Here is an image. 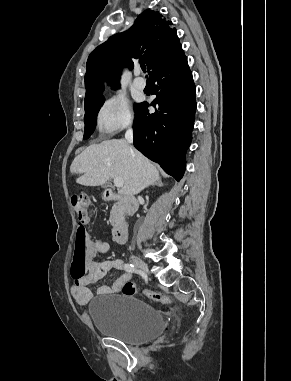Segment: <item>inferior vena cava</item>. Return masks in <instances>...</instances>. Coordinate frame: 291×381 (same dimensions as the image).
Here are the masks:
<instances>
[{"label":"inferior vena cava","mask_w":291,"mask_h":381,"mask_svg":"<svg viewBox=\"0 0 291 381\" xmlns=\"http://www.w3.org/2000/svg\"><path fill=\"white\" fill-rule=\"evenodd\" d=\"M125 138L129 143L133 142V130L129 127L125 133Z\"/></svg>","instance_id":"obj_1"}]
</instances>
